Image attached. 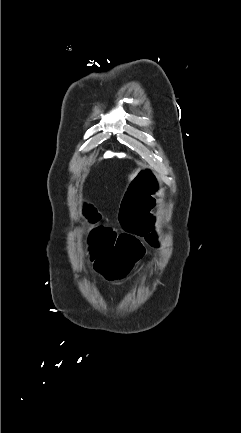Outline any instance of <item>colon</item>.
<instances>
[{"label": "colon", "instance_id": "obj_1", "mask_svg": "<svg viewBox=\"0 0 241 433\" xmlns=\"http://www.w3.org/2000/svg\"><path fill=\"white\" fill-rule=\"evenodd\" d=\"M150 165L140 166L139 172L123 187L122 200L119 201L120 223L125 230H116L115 225H98L104 220L103 212H94L89 206L84 213L85 221H93L94 226L88 228V237L93 247L89 262L96 272H107L109 279L125 277L134 263L142 256L143 248L137 235H146L148 230L158 228L163 220L150 217V209L155 208V201L163 192V184L156 171ZM83 205L89 200L83 198ZM152 246L157 245L154 237L146 236ZM110 270V271H109Z\"/></svg>", "mask_w": 241, "mask_h": 433}]
</instances>
